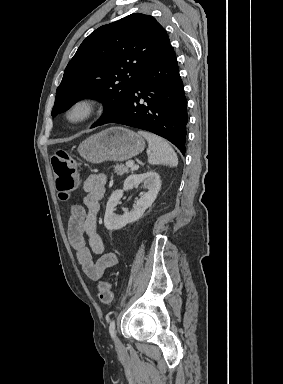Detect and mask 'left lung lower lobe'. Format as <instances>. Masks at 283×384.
Returning <instances> with one entry per match:
<instances>
[{"label":"left lung lower lobe","instance_id":"1","mask_svg":"<svg viewBox=\"0 0 283 384\" xmlns=\"http://www.w3.org/2000/svg\"><path fill=\"white\" fill-rule=\"evenodd\" d=\"M144 99V103H140ZM187 100L175 52L169 44L159 59L136 82L126 106L107 123H118L155 133L186 147ZM95 126V127H96Z\"/></svg>","mask_w":283,"mask_h":384}]
</instances>
